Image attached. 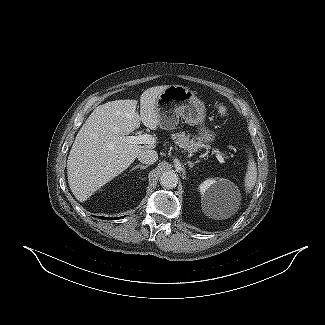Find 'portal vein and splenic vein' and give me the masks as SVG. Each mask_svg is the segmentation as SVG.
<instances>
[{
  "instance_id": "18ae733b",
  "label": "portal vein and splenic vein",
  "mask_w": 325,
  "mask_h": 325,
  "mask_svg": "<svg viewBox=\"0 0 325 325\" xmlns=\"http://www.w3.org/2000/svg\"><path fill=\"white\" fill-rule=\"evenodd\" d=\"M125 140L129 144H148V145H154L156 143L155 138L152 135L149 134H142L138 136H126ZM213 154H215L216 158L220 163H224V158L220 155L218 151H213Z\"/></svg>"
}]
</instances>
